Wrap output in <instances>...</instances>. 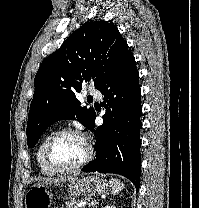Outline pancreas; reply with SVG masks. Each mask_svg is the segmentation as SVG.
I'll use <instances>...</instances> for the list:
<instances>
[{"instance_id":"1","label":"pancreas","mask_w":199,"mask_h":208,"mask_svg":"<svg viewBox=\"0 0 199 208\" xmlns=\"http://www.w3.org/2000/svg\"><path fill=\"white\" fill-rule=\"evenodd\" d=\"M89 201V200H88ZM80 203H83V201H79V200H72V201H67L66 204V208H85V205L79 206Z\"/></svg>"}]
</instances>
